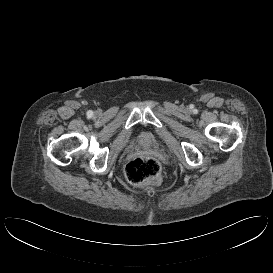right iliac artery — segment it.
Wrapping results in <instances>:
<instances>
[{
	"mask_svg": "<svg viewBox=\"0 0 273 273\" xmlns=\"http://www.w3.org/2000/svg\"><path fill=\"white\" fill-rule=\"evenodd\" d=\"M87 115H88L89 117H91V116L93 115V112H92V111H88V112H87Z\"/></svg>",
	"mask_w": 273,
	"mask_h": 273,
	"instance_id": "1",
	"label": "right iliac artery"
}]
</instances>
